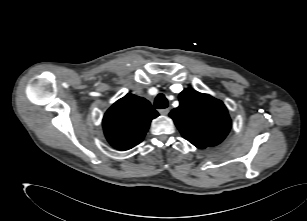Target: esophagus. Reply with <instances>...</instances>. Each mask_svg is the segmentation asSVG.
I'll return each mask as SVG.
<instances>
[{
  "mask_svg": "<svg viewBox=\"0 0 307 221\" xmlns=\"http://www.w3.org/2000/svg\"><path fill=\"white\" fill-rule=\"evenodd\" d=\"M169 112H170V109H169V108H165V109L159 110V113H160L161 115H164V116L168 115Z\"/></svg>",
  "mask_w": 307,
  "mask_h": 221,
  "instance_id": "esophagus-1",
  "label": "esophagus"
}]
</instances>
